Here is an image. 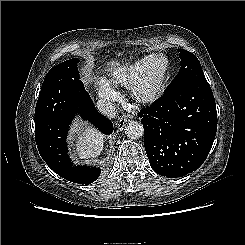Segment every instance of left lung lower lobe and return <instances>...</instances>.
Segmentation results:
<instances>
[{
    "label": "left lung lower lobe",
    "mask_w": 245,
    "mask_h": 245,
    "mask_svg": "<svg viewBox=\"0 0 245 245\" xmlns=\"http://www.w3.org/2000/svg\"><path fill=\"white\" fill-rule=\"evenodd\" d=\"M145 150L152 169L176 178L206 160L217 130L211 87L199 78L171 90L141 110Z\"/></svg>",
    "instance_id": "left-lung-lower-lobe-1"
}]
</instances>
